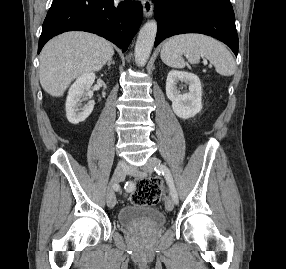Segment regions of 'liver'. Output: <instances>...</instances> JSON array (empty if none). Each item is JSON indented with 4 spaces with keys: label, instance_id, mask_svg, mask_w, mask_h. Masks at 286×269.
I'll return each mask as SVG.
<instances>
[{
    "label": "liver",
    "instance_id": "obj_1",
    "mask_svg": "<svg viewBox=\"0 0 286 269\" xmlns=\"http://www.w3.org/2000/svg\"><path fill=\"white\" fill-rule=\"evenodd\" d=\"M113 46L86 32H67L50 40L40 55V84L53 97H60L78 76L99 71L111 60Z\"/></svg>",
    "mask_w": 286,
    "mask_h": 269
}]
</instances>
